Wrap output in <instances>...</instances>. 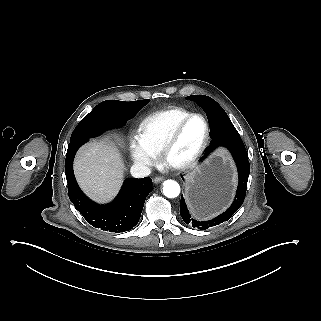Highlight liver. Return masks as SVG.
<instances>
[{"instance_id":"obj_1","label":"liver","mask_w":321,"mask_h":321,"mask_svg":"<svg viewBox=\"0 0 321 321\" xmlns=\"http://www.w3.org/2000/svg\"><path fill=\"white\" fill-rule=\"evenodd\" d=\"M120 141L119 137H116ZM125 165L108 137L82 146L74 160V173L82 190L97 202L110 201L122 184Z\"/></svg>"}]
</instances>
